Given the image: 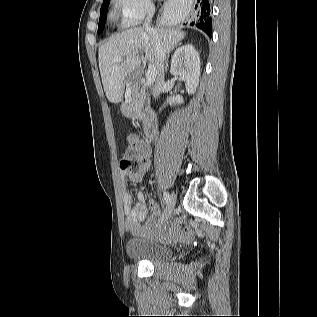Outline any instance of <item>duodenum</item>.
<instances>
[{
  "label": "duodenum",
  "instance_id": "obj_1",
  "mask_svg": "<svg viewBox=\"0 0 317 317\" xmlns=\"http://www.w3.org/2000/svg\"><path fill=\"white\" fill-rule=\"evenodd\" d=\"M121 109L124 111L125 115H132V102L131 100H121L120 102ZM139 113H142V110H139ZM144 123H145V136L148 140H154L158 134V119L156 115L149 111L144 116Z\"/></svg>",
  "mask_w": 317,
  "mask_h": 317
}]
</instances>
